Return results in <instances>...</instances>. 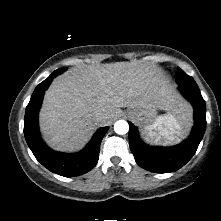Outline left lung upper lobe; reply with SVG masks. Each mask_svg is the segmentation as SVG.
I'll list each match as a JSON object with an SVG mask.
<instances>
[{"label": "left lung upper lobe", "instance_id": "obj_1", "mask_svg": "<svg viewBox=\"0 0 221 221\" xmlns=\"http://www.w3.org/2000/svg\"><path fill=\"white\" fill-rule=\"evenodd\" d=\"M175 80L179 86H197L196 82L192 77L187 75L183 70L177 68V72L175 74Z\"/></svg>", "mask_w": 221, "mask_h": 221}]
</instances>
